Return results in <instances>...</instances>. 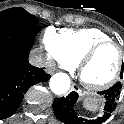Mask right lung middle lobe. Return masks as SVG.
Here are the masks:
<instances>
[{
    "mask_svg": "<svg viewBox=\"0 0 124 124\" xmlns=\"http://www.w3.org/2000/svg\"><path fill=\"white\" fill-rule=\"evenodd\" d=\"M37 24L36 16L23 8H9L0 12V28H24Z\"/></svg>",
    "mask_w": 124,
    "mask_h": 124,
    "instance_id": "obj_1",
    "label": "right lung middle lobe"
}]
</instances>
